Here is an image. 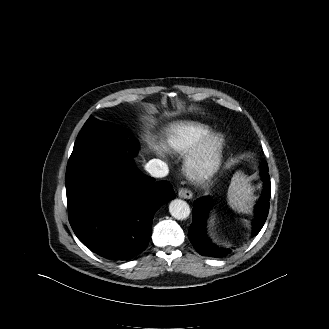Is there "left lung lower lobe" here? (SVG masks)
Wrapping results in <instances>:
<instances>
[{
	"instance_id": "left-lung-lower-lobe-1",
	"label": "left lung lower lobe",
	"mask_w": 329,
	"mask_h": 329,
	"mask_svg": "<svg viewBox=\"0 0 329 329\" xmlns=\"http://www.w3.org/2000/svg\"><path fill=\"white\" fill-rule=\"evenodd\" d=\"M262 177L265 182V190L256 206V219L253 222V236L262 229L269 211V200L271 195V183L268 167L263 164ZM210 201L206 197L199 198L193 207V221L188 231V237L196 251L204 256L221 258L228 255L231 250H226L214 245L206 234V219L210 207Z\"/></svg>"
}]
</instances>
